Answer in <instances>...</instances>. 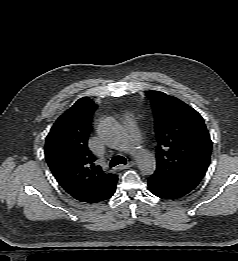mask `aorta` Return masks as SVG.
Segmentation results:
<instances>
[{
    "label": "aorta",
    "instance_id": "aorta-1",
    "mask_svg": "<svg viewBox=\"0 0 238 261\" xmlns=\"http://www.w3.org/2000/svg\"><path fill=\"white\" fill-rule=\"evenodd\" d=\"M101 131L109 142L133 156L143 175H152L154 173L156 169L155 157L146 149L130 145L126 134L114 119H104L101 123Z\"/></svg>",
    "mask_w": 238,
    "mask_h": 261
}]
</instances>
